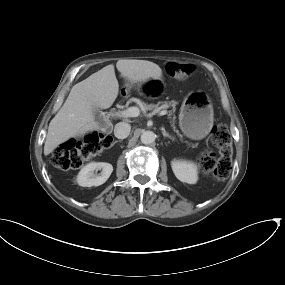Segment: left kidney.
I'll return each mask as SVG.
<instances>
[{
  "mask_svg": "<svg viewBox=\"0 0 285 285\" xmlns=\"http://www.w3.org/2000/svg\"><path fill=\"white\" fill-rule=\"evenodd\" d=\"M172 170L181 182L195 184L198 180L197 165L193 162L184 160H173L171 162Z\"/></svg>",
  "mask_w": 285,
  "mask_h": 285,
  "instance_id": "left-kidney-1",
  "label": "left kidney"
}]
</instances>
